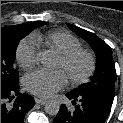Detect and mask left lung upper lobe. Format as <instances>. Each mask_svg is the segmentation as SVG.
Returning a JSON list of instances; mask_svg holds the SVG:
<instances>
[{"label": "left lung upper lobe", "instance_id": "obj_1", "mask_svg": "<svg viewBox=\"0 0 123 123\" xmlns=\"http://www.w3.org/2000/svg\"><path fill=\"white\" fill-rule=\"evenodd\" d=\"M68 27L86 40L94 50L97 58L96 71L91 81L73 90L76 93L100 94L114 97L115 67L111 48L94 33L67 23Z\"/></svg>", "mask_w": 123, "mask_h": 123}]
</instances>
